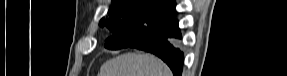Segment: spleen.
Instances as JSON below:
<instances>
[{
  "mask_svg": "<svg viewBox=\"0 0 287 76\" xmlns=\"http://www.w3.org/2000/svg\"><path fill=\"white\" fill-rule=\"evenodd\" d=\"M102 76H172L159 58L143 53H125L110 59L101 67Z\"/></svg>",
  "mask_w": 287,
  "mask_h": 76,
  "instance_id": "3e777b00",
  "label": "spleen"
}]
</instances>
